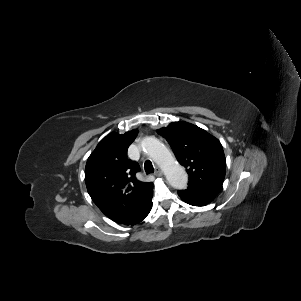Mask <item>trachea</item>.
Segmentation results:
<instances>
[{"mask_svg": "<svg viewBox=\"0 0 301 301\" xmlns=\"http://www.w3.org/2000/svg\"><path fill=\"white\" fill-rule=\"evenodd\" d=\"M144 169H145V172L147 174H150V173H153L154 172V168H153V165L150 161H146L145 164H144Z\"/></svg>", "mask_w": 301, "mask_h": 301, "instance_id": "trachea-1", "label": "trachea"}]
</instances>
